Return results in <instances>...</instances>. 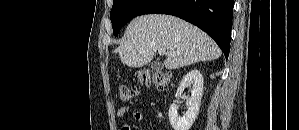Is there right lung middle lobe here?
<instances>
[{
    "instance_id": "right-lung-middle-lobe-1",
    "label": "right lung middle lobe",
    "mask_w": 299,
    "mask_h": 130,
    "mask_svg": "<svg viewBox=\"0 0 299 130\" xmlns=\"http://www.w3.org/2000/svg\"><path fill=\"white\" fill-rule=\"evenodd\" d=\"M151 0H113L110 19L113 27V34L118 35L122 26L138 16L141 10Z\"/></svg>"
}]
</instances>
